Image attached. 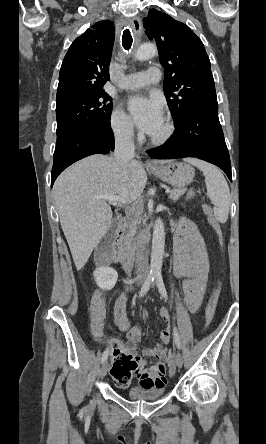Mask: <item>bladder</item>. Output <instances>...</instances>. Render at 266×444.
Instances as JSON below:
<instances>
[{"label":"bladder","mask_w":266,"mask_h":444,"mask_svg":"<svg viewBox=\"0 0 266 444\" xmlns=\"http://www.w3.org/2000/svg\"><path fill=\"white\" fill-rule=\"evenodd\" d=\"M165 393L164 388L159 389H142V388H131L127 392V396L131 399L138 400H155L162 397Z\"/></svg>","instance_id":"31cf9c89"}]
</instances>
